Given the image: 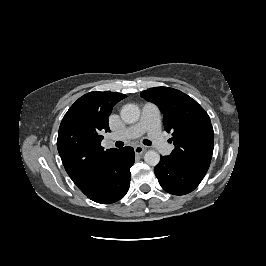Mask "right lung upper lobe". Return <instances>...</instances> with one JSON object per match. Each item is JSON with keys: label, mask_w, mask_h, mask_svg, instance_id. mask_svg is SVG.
<instances>
[{"label": "right lung upper lobe", "mask_w": 266, "mask_h": 266, "mask_svg": "<svg viewBox=\"0 0 266 266\" xmlns=\"http://www.w3.org/2000/svg\"><path fill=\"white\" fill-rule=\"evenodd\" d=\"M126 95L94 91L80 97L67 111L59 127L57 149L66 172L88 195L94 191L118 149L104 150L102 133L108 132L112 107Z\"/></svg>", "instance_id": "cb5924a9"}]
</instances>
